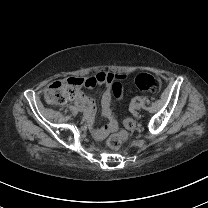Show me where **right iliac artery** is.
<instances>
[{"label": "right iliac artery", "mask_w": 208, "mask_h": 208, "mask_svg": "<svg viewBox=\"0 0 208 208\" xmlns=\"http://www.w3.org/2000/svg\"><path fill=\"white\" fill-rule=\"evenodd\" d=\"M75 106L79 107V102L75 101Z\"/></svg>", "instance_id": "right-iliac-artery-1"}]
</instances>
